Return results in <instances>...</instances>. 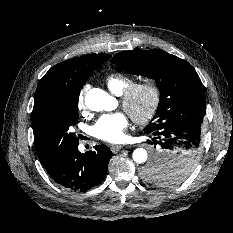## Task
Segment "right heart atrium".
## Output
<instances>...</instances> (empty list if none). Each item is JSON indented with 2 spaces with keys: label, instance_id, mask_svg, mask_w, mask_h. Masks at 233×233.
<instances>
[{
  "label": "right heart atrium",
  "instance_id": "obj_1",
  "mask_svg": "<svg viewBox=\"0 0 233 233\" xmlns=\"http://www.w3.org/2000/svg\"><path fill=\"white\" fill-rule=\"evenodd\" d=\"M87 89H88V85H84L83 88L80 90L77 98V107L80 111L84 110L85 108V94Z\"/></svg>",
  "mask_w": 233,
  "mask_h": 233
}]
</instances>
